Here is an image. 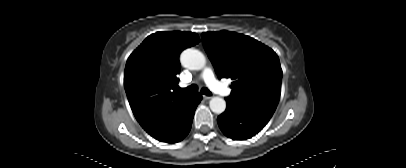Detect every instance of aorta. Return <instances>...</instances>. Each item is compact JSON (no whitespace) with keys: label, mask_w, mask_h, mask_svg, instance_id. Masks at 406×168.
<instances>
[{"label":"aorta","mask_w":406,"mask_h":168,"mask_svg":"<svg viewBox=\"0 0 406 168\" xmlns=\"http://www.w3.org/2000/svg\"><path fill=\"white\" fill-rule=\"evenodd\" d=\"M180 62L183 67L190 70H201L206 65V58L199 50L189 48L181 53ZM209 105L211 111L216 114H221L226 109V102L221 97H213L210 100Z\"/></svg>","instance_id":"aorta-1"}]
</instances>
